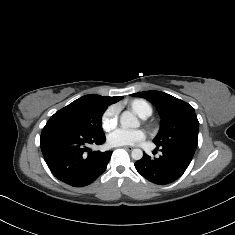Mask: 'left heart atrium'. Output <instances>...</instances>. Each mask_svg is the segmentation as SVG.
Masks as SVG:
<instances>
[{
  "instance_id": "left-heart-atrium-1",
  "label": "left heart atrium",
  "mask_w": 235,
  "mask_h": 235,
  "mask_svg": "<svg viewBox=\"0 0 235 235\" xmlns=\"http://www.w3.org/2000/svg\"><path fill=\"white\" fill-rule=\"evenodd\" d=\"M146 138V133L142 129L125 130L116 129L107 136V143L110 146H130L142 142Z\"/></svg>"
}]
</instances>
